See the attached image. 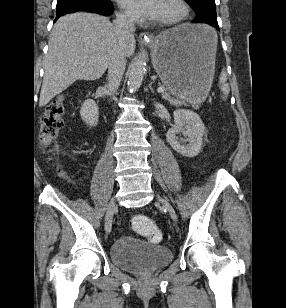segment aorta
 Returning <instances> with one entry per match:
<instances>
[{
	"mask_svg": "<svg viewBox=\"0 0 286 308\" xmlns=\"http://www.w3.org/2000/svg\"><path fill=\"white\" fill-rule=\"evenodd\" d=\"M146 57L140 55L132 64L128 76V90L133 93L139 89L142 84L146 71Z\"/></svg>",
	"mask_w": 286,
	"mask_h": 308,
	"instance_id": "aorta-1",
	"label": "aorta"
}]
</instances>
